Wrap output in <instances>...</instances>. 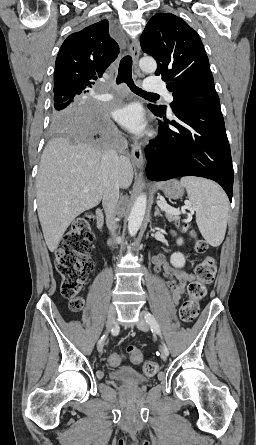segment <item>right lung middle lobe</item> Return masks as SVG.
I'll use <instances>...</instances> for the list:
<instances>
[{
    "mask_svg": "<svg viewBox=\"0 0 256 445\" xmlns=\"http://www.w3.org/2000/svg\"><path fill=\"white\" fill-rule=\"evenodd\" d=\"M86 94L83 92H69L60 96L54 95L52 131H64L70 138L75 139L71 125H73L76 111L83 103L89 101Z\"/></svg>",
    "mask_w": 256,
    "mask_h": 445,
    "instance_id": "dd1d6c3e",
    "label": "right lung middle lobe"
}]
</instances>
